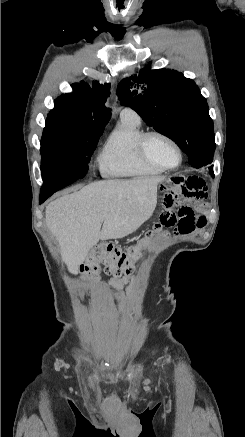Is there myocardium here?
I'll return each instance as SVG.
<instances>
[{
    "mask_svg": "<svg viewBox=\"0 0 245 437\" xmlns=\"http://www.w3.org/2000/svg\"><path fill=\"white\" fill-rule=\"evenodd\" d=\"M153 137H160V138L168 141L171 145L174 146V148L176 149V151L178 153V157H179L178 162H177L176 165H174V166L163 165V164L159 163L158 161L154 160L149 155V153L147 151V143H148L149 139H151ZM138 151H139V154H140V156L142 157V159L144 161H146L147 163H149V164H151V165H153L155 167H158V168H160L162 170H174V169H177L181 165V163L183 161V152H182V149H181L180 145L177 143V141L174 138H172L171 136H169L168 134H166L164 132H161V131H157V130L145 132L140 137V139L138 141Z\"/></svg>",
    "mask_w": 245,
    "mask_h": 437,
    "instance_id": "f54148a6",
    "label": "myocardium"
}]
</instances>
